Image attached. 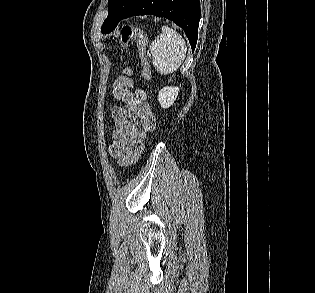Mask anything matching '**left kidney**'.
Returning <instances> with one entry per match:
<instances>
[{
  "label": "left kidney",
  "instance_id": "obj_1",
  "mask_svg": "<svg viewBox=\"0 0 315 293\" xmlns=\"http://www.w3.org/2000/svg\"><path fill=\"white\" fill-rule=\"evenodd\" d=\"M179 93L178 87H164L159 91L158 101L162 108L167 109L173 105Z\"/></svg>",
  "mask_w": 315,
  "mask_h": 293
}]
</instances>
